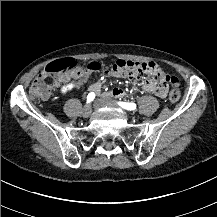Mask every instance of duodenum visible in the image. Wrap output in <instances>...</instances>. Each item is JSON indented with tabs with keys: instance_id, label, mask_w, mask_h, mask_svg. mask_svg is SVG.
Wrapping results in <instances>:
<instances>
[{
	"instance_id": "duodenum-1",
	"label": "duodenum",
	"mask_w": 217,
	"mask_h": 217,
	"mask_svg": "<svg viewBox=\"0 0 217 217\" xmlns=\"http://www.w3.org/2000/svg\"><path fill=\"white\" fill-rule=\"evenodd\" d=\"M90 89L97 92V93H100V92H103V94H112V90H109V91H104L103 90V87L100 83H94L90 86Z\"/></svg>"
}]
</instances>
